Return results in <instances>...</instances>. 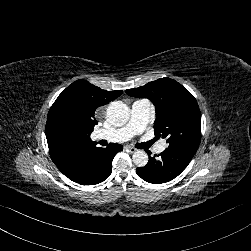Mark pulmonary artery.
Segmentation results:
<instances>
[{"mask_svg":"<svg viewBox=\"0 0 251 251\" xmlns=\"http://www.w3.org/2000/svg\"><path fill=\"white\" fill-rule=\"evenodd\" d=\"M150 110L151 106L147 100L135 101L131 107V114L128 123L121 128L108 131L106 133V139L115 143L127 142L145 127ZM155 146L157 152H162L165 149V145L160 141L157 142Z\"/></svg>","mask_w":251,"mask_h":251,"instance_id":"e3ab8cb5","label":"pulmonary artery"}]
</instances>
